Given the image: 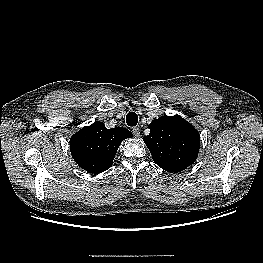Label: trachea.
<instances>
[{
  "label": "trachea",
  "mask_w": 263,
  "mask_h": 263,
  "mask_svg": "<svg viewBox=\"0 0 263 263\" xmlns=\"http://www.w3.org/2000/svg\"><path fill=\"white\" fill-rule=\"evenodd\" d=\"M126 123L128 126L134 127L138 123V116L135 112H129L126 115Z\"/></svg>",
  "instance_id": "trachea-1"
}]
</instances>
